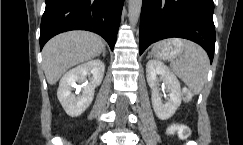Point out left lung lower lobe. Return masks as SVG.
Returning <instances> with one entry per match:
<instances>
[{
  "mask_svg": "<svg viewBox=\"0 0 243 145\" xmlns=\"http://www.w3.org/2000/svg\"><path fill=\"white\" fill-rule=\"evenodd\" d=\"M213 0H143L140 55L152 43L169 37L201 45L212 62L215 47Z\"/></svg>",
  "mask_w": 243,
  "mask_h": 145,
  "instance_id": "1",
  "label": "left lung lower lobe"
}]
</instances>
